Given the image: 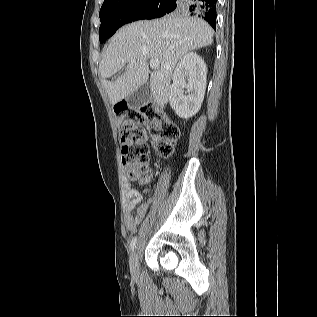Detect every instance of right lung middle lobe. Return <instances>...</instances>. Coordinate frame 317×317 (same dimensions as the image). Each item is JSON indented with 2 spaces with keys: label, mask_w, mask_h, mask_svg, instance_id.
I'll use <instances>...</instances> for the list:
<instances>
[{
  "label": "right lung middle lobe",
  "mask_w": 317,
  "mask_h": 317,
  "mask_svg": "<svg viewBox=\"0 0 317 317\" xmlns=\"http://www.w3.org/2000/svg\"><path fill=\"white\" fill-rule=\"evenodd\" d=\"M167 0H104L100 9L99 39L103 43L111 37L121 26L132 21L146 19L151 11L157 9ZM185 0H177L163 14L184 9Z\"/></svg>",
  "instance_id": "dd1d6c3e"
}]
</instances>
